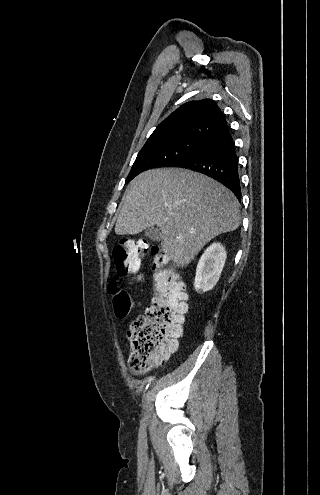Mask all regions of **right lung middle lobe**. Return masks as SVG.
<instances>
[{"mask_svg":"<svg viewBox=\"0 0 320 495\" xmlns=\"http://www.w3.org/2000/svg\"><path fill=\"white\" fill-rule=\"evenodd\" d=\"M206 139L188 138L158 145L144 146L131 168L126 182L143 171L158 167H175L196 153Z\"/></svg>","mask_w":320,"mask_h":495,"instance_id":"right-lung-middle-lobe-1","label":"right lung middle lobe"}]
</instances>
